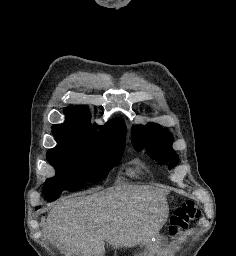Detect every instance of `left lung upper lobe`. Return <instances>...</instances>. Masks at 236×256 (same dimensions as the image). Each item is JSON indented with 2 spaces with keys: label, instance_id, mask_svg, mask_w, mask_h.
I'll list each match as a JSON object with an SVG mask.
<instances>
[{
  "label": "left lung upper lobe",
  "instance_id": "5c2ea615",
  "mask_svg": "<svg viewBox=\"0 0 236 256\" xmlns=\"http://www.w3.org/2000/svg\"><path fill=\"white\" fill-rule=\"evenodd\" d=\"M132 144L135 150L146 148V153L164 165L169 162V168L177 165L178 155L172 149L171 134L158 124L149 123L146 126H134L132 129Z\"/></svg>",
  "mask_w": 236,
  "mask_h": 256
}]
</instances>
